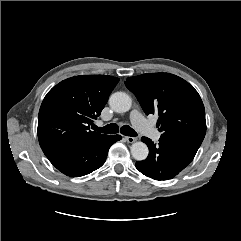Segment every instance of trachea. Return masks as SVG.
Returning a JSON list of instances; mask_svg holds the SVG:
<instances>
[{
	"label": "trachea",
	"mask_w": 241,
	"mask_h": 241,
	"mask_svg": "<svg viewBox=\"0 0 241 241\" xmlns=\"http://www.w3.org/2000/svg\"><path fill=\"white\" fill-rule=\"evenodd\" d=\"M94 130L101 132V133H106V134H115L119 132V126L115 123L108 124L102 128H99L97 126H94ZM121 134L130 136V137H135L137 136V133L128 125H124L120 129Z\"/></svg>",
	"instance_id": "trachea-1"
}]
</instances>
